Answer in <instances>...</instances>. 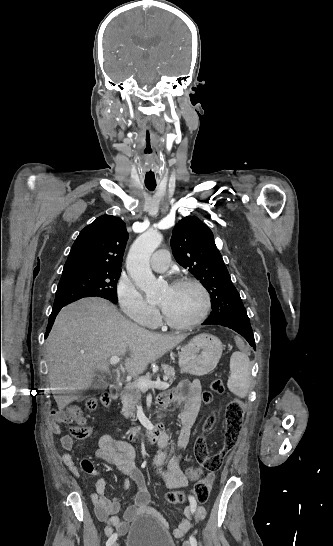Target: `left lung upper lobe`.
<instances>
[{"label":"left lung upper lobe","instance_id":"obj_1","mask_svg":"<svg viewBox=\"0 0 333 546\" xmlns=\"http://www.w3.org/2000/svg\"><path fill=\"white\" fill-rule=\"evenodd\" d=\"M171 248L175 260L194 274L211 296L209 319L230 322L246 314L211 230L195 216L180 220L173 230Z\"/></svg>","mask_w":333,"mask_h":546}]
</instances>
